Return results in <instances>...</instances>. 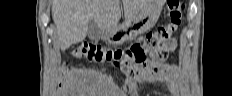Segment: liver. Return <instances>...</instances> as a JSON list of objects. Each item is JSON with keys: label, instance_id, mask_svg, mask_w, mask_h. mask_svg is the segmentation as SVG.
<instances>
[{"label": "liver", "instance_id": "6515ba94", "mask_svg": "<svg viewBox=\"0 0 232 96\" xmlns=\"http://www.w3.org/2000/svg\"><path fill=\"white\" fill-rule=\"evenodd\" d=\"M126 20H132L148 0H122ZM52 17L62 51L82 42L93 19L102 31L117 27L121 19L120 0H54Z\"/></svg>", "mask_w": 232, "mask_h": 96}]
</instances>
